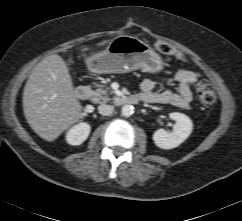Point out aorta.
Instances as JSON below:
<instances>
[{
	"mask_svg": "<svg viewBox=\"0 0 242 221\" xmlns=\"http://www.w3.org/2000/svg\"><path fill=\"white\" fill-rule=\"evenodd\" d=\"M121 113L125 117H129L134 113V107L132 105L126 104L122 107Z\"/></svg>",
	"mask_w": 242,
	"mask_h": 221,
	"instance_id": "aorta-1",
	"label": "aorta"
}]
</instances>
